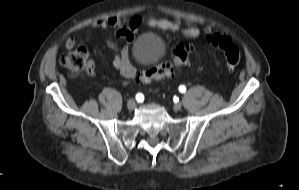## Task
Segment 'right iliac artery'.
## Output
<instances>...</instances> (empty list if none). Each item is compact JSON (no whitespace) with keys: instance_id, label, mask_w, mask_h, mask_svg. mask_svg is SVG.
Masks as SVG:
<instances>
[{"instance_id":"right-iliac-artery-1","label":"right iliac artery","mask_w":299,"mask_h":190,"mask_svg":"<svg viewBox=\"0 0 299 190\" xmlns=\"http://www.w3.org/2000/svg\"><path fill=\"white\" fill-rule=\"evenodd\" d=\"M136 100H137L138 102H142V101L144 100V96H143L141 93H138V94L136 95Z\"/></svg>"}]
</instances>
